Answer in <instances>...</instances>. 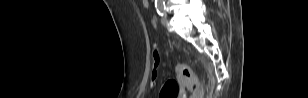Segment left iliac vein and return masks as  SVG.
<instances>
[{"mask_svg":"<svg viewBox=\"0 0 308 98\" xmlns=\"http://www.w3.org/2000/svg\"><path fill=\"white\" fill-rule=\"evenodd\" d=\"M162 25L163 26H167L168 25V19H167L166 16L162 18Z\"/></svg>","mask_w":308,"mask_h":98,"instance_id":"1","label":"left iliac vein"}]
</instances>
